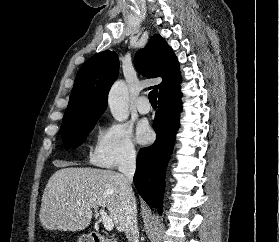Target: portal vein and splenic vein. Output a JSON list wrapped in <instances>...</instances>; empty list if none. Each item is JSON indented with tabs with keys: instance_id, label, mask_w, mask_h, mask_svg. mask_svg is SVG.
<instances>
[{
	"instance_id": "18ae733b",
	"label": "portal vein and splenic vein",
	"mask_w": 279,
	"mask_h": 242,
	"mask_svg": "<svg viewBox=\"0 0 279 242\" xmlns=\"http://www.w3.org/2000/svg\"><path fill=\"white\" fill-rule=\"evenodd\" d=\"M101 215V221L107 231H111L114 228L113 220L107 215L104 210L99 211Z\"/></svg>"
}]
</instances>
